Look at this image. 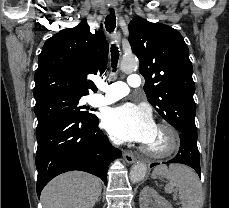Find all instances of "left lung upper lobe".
<instances>
[{
	"label": "left lung upper lobe",
	"instance_id": "1",
	"mask_svg": "<svg viewBox=\"0 0 229 208\" xmlns=\"http://www.w3.org/2000/svg\"><path fill=\"white\" fill-rule=\"evenodd\" d=\"M129 42L139 58L147 100L180 133L197 130L193 67L182 35L168 25L137 17L129 24Z\"/></svg>",
	"mask_w": 229,
	"mask_h": 208
}]
</instances>
